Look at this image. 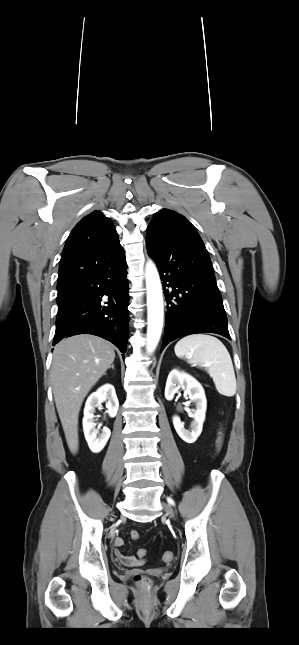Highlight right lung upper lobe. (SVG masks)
Segmentation results:
<instances>
[{"mask_svg":"<svg viewBox=\"0 0 299 645\" xmlns=\"http://www.w3.org/2000/svg\"><path fill=\"white\" fill-rule=\"evenodd\" d=\"M111 220L100 211L84 217L72 230L62 251L57 290H67L85 276L124 257Z\"/></svg>","mask_w":299,"mask_h":645,"instance_id":"right-lung-upper-lobe-1","label":"right lung upper lobe"}]
</instances>
